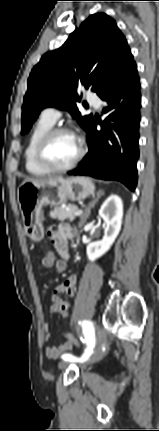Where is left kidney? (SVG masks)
Segmentation results:
<instances>
[{"instance_id":"1","label":"left kidney","mask_w":159,"mask_h":431,"mask_svg":"<svg viewBox=\"0 0 159 431\" xmlns=\"http://www.w3.org/2000/svg\"><path fill=\"white\" fill-rule=\"evenodd\" d=\"M99 216L105 222L104 236L102 240L91 242L87 245V256L90 261H95L104 255L117 238L123 218V203L119 196L111 195L102 204Z\"/></svg>"}]
</instances>
